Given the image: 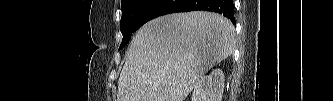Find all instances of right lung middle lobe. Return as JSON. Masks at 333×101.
<instances>
[{
  "mask_svg": "<svg viewBox=\"0 0 333 101\" xmlns=\"http://www.w3.org/2000/svg\"><path fill=\"white\" fill-rule=\"evenodd\" d=\"M150 2L151 0H121L122 18L120 30L123 39L119 50L129 42L132 33L138 29L136 27L137 20Z\"/></svg>",
  "mask_w": 333,
  "mask_h": 101,
  "instance_id": "1",
  "label": "right lung middle lobe"
}]
</instances>
